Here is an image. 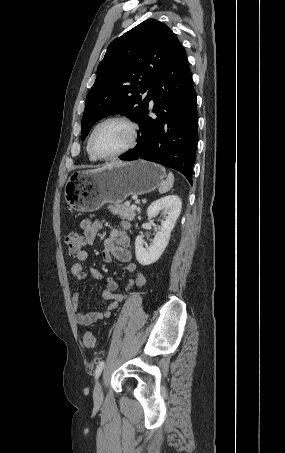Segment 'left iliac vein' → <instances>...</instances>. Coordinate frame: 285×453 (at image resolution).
I'll use <instances>...</instances> for the list:
<instances>
[{
	"instance_id": "left-iliac-vein-1",
	"label": "left iliac vein",
	"mask_w": 285,
	"mask_h": 453,
	"mask_svg": "<svg viewBox=\"0 0 285 453\" xmlns=\"http://www.w3.org/2000/svg\"><path fill=\"white\" fill-rule=\"evenodd\" d=\"M102 400H103L102 384L100 381H97L94 389V401L95 403L100 404Z\"/></svg>"
}]
</instances>
